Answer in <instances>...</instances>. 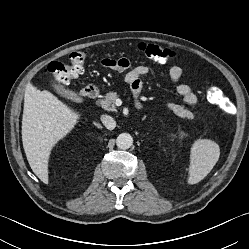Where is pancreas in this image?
<instances>
[{
  "label": "pancreas",
  "instance_id": "pancreas-1",
  "mask_svg": "<svg viewBox=\"0 0 249 249\" xmlns=\"http://www.w3.org/2000/svg\"><path fill=\"white\" fill-rule=\"evenodd\" d=\"M118 99V94L116 92H109L105 95L104 99L100 101V104L103 109L107 111H116L115 102ZM168 108L174 112L180 118L193 119L194 115L192 112L187 110L182 105H177L170 103L168 104Z\"/></svg>",
  "mask_w": 249,
  "mask_h": 249
}]
</instances>
